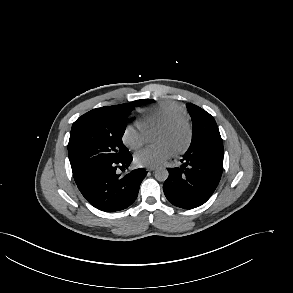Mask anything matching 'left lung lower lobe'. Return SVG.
I'll return each instance as SVG.
<instances>
[{
  "instance_id": "left-lung-lower-lobe-1",
  "label": "left lung lower lobe",
  "mask_w": 293,
  "mask_h": 293,
  "mask_svg": "<svg viewBox=\"0 0 293 293\" xmlns=\"http://www.w3.org/2000/svg\"><path fill=\"white\" fill-rule=\"evenodd\" d=\"M180 168H168L164 194L173 205L192 209L204 204L215 191L223 170V153L200 148L185 153Z\"/></svg>"
}]
</instances>
